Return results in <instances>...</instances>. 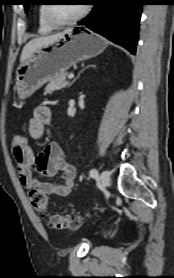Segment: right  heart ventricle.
<instances>
[{
  "label": "right heart ventricle",
  "instance_id": "1",
  "mask_svg": "<svg viewBox=\"0 0 174 278\" xmlns=\"http://www.w3.org/2000/svg\"><path fill=\"white\" fill-rule=\"evenodd\" d=\"M44 5H41L38 9V30L42 34H48L54 30L44 17Z\"/></svg>",
  "mask_w": 174,
  "mask_h": 278
}]
</instances>
